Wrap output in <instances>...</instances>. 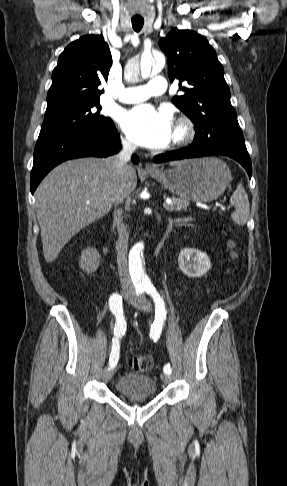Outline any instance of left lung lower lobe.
I'll return each mask as SVG.
<instances>
[{
  "label": "left lung lower lobe",
  "instance_id": "0a47b994",
  "mask_svg": "<svg viewBox=\"0 0 287 486\" xmlns=\"http://www.w3.org/2000/svg\"><path fill=\"white\" fill-rule=\"evenodd\" d=\"M211 155H225L238 161L247 171L249 177L252 175L251 160L247 150L233 149L228 147H207L192 144L188 148L171 151L155 156V163L181 160L186 158L204 157Z\"/></svg>",
  "mask_w": 287,
  "mask_h": 486
}]
</instances>
